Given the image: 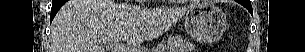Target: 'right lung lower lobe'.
Listing matches in <instances>:
<instances>
[{
	"label": "right lung lower lobe",
	"instance_id": "obj_1",
	"mask_svg": "<svg viewBox=\"0 0 305 52\" xmlns=\"http://www.w3.org/2000/svg\"><path fill=\"white\" fill-rule=\"evenodd\" d=\"M67 0H52V9H51V16L50 20L52 21L53 18L55 17L56 13L59 11V9L62 7V5L66 2Z\"/></svg>",
	"mask_w": 305,
	"mask_h": 52
}]
</instances>
